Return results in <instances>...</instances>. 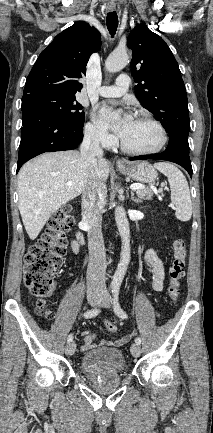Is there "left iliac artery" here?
Segmentation results:
<instances>
[{
	"instance_id": "1",
	"label": "left iliac artery",
	"mask_w": 213,
	"mask_h": 433,
	"mask_svg": "<svg viewBox=\"0 0 213 433\" xmlns=\"http://www.w3.org/2000/svg\"><path fill=\"white\" fill-rule=\"evenodd\" d=\"M112 293H113V303H114V311L115 314L117 316H119L120 318H127V314L126 312L120 307L118 299H119V287L116 286L112 289ZM135 342L137 344H141V338L140 337H136Z\"/></svg>"
}]
</instances>
